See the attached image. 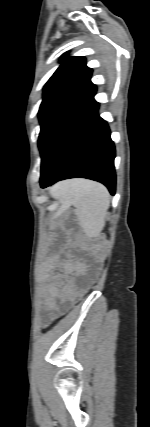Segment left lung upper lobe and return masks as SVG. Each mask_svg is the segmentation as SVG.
Instances as JSON below:
<instances>
[{
    "mask_svg": "<svg viewBox=\"0 0 150 427\" xmlns=\"http://www.w3.org/2000/svg\"><path fill=\"white\" fill-rule=\"evenodd\" d=\"M92 70L81 56L61 62L59 68L44 86L43 101L38 116L41 125L67 107L91 85Z\"/></svg>",
    "mask_w": 150,
    "mask_h": 427,
    "instance_id": "1",
    "label": "left lung upper lobe"
}]
</instances>
